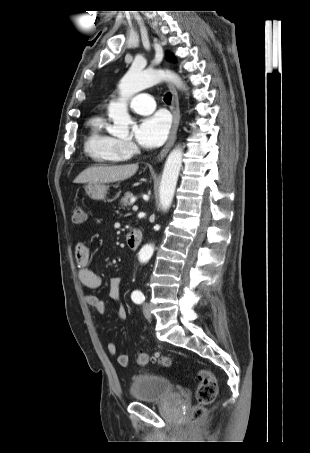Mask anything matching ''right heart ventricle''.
<instances>
[{"label": "right heart ventricle", "instance_id": "right-heart-ventricle-1", "mask_svg": "<svg viewBox=\"0 0 310 453\" xmlns=\"http://www.w3.org/2000/svg\"><path fill=\"white\" fill-rule=\"evenodd\" d=\"M84 149L93 161L101 164H116L128 158L121 141L107 131L106 121L101 115L89 119Z\"/></svg>", "mask_w": 310, "mask_h": 453}]
</instances>
